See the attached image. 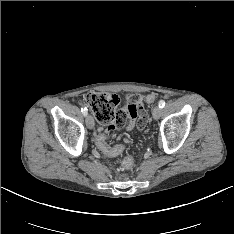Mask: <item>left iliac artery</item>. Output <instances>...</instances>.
I'll return each mask as SVG.
<instances>
[{
  "label": "left iliac artery",
  "instance_id": "left-iliac-artery-1",
  "mask_svg": "<svg viewBox=\"0 0 234 234\" xmlns=\"http://www.w3.org/2000/svg\"><path fill=\"white\" fill-rule=\"evenodd\" d=\"M160 108H163L165 106V101L164 100H160L158 103Z\"/></svg>",
  "mask_w": 234,
  "mask_h": 234
}]
</instances>
